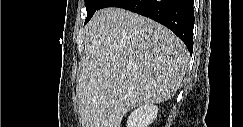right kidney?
<instances>
[{
	"mask_svg": "<svg viewBox=\"0 0 243 127\" xmlns=\"http://www.w3.org/2000/svg\"><path fill=\"white\" fill-rule=\"evenodd\" d=\"M158 107L153 104L140 105L127 120V127H148L157 117Z\"/></svg>",
	"mask_w": 243,
	"mask_h": 127,
	"instance_id": "ca27d5eb",
	"label": "right kidney"
}]
</instances>
